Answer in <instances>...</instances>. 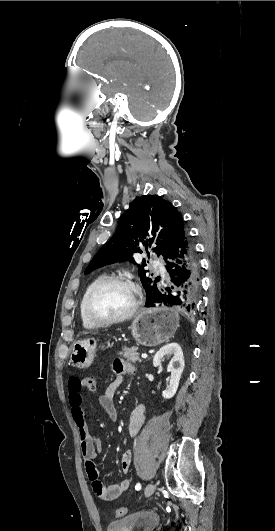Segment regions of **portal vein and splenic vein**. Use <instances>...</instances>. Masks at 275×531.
Masks as SVG:
<instances>
[{
    "mask_svg": "<svg viewBox=\"0 0 275 531\" xmlns=\"http://www.w3.org/2000/svg\"><path fill=\"white\" fill-rule=\"evenodd\" d=\"M142 359H147L148 355H141Z\"/></svg>",
    "mask_w": 275,
    "mask_h": 531,
    "instance_id": "1",
    "label": "portal vein and splenic vein"
}]
</instances>
